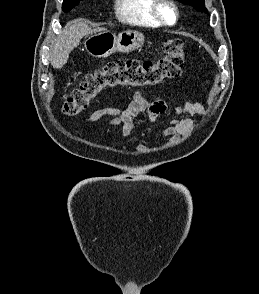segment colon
<instances>
[{"label": "colon", "mask_w": 259, "mask_h": 294, "mask_svg": "<svg viewBox=\"0 0 259 294\" xmlns=\"http://www.w3.org/2000/svg\"><path fill=\"white\" fill-rule=\"evenodd\" d=\"M162 49L163 56L157 61L117 60L87 73L77 88L63 96L62 111L74 116L88 108L91 101L108 88H143L177 78L184 66L185 43L180 39H167Z\"/></svg>", "instance_id": "1"}]
</instances>
